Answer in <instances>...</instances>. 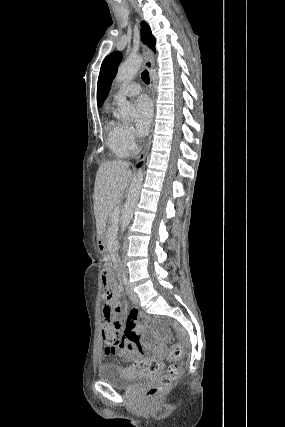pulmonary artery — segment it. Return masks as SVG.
<instances>
[{"label": "pulmonary artery", "instance_id": "pulmonary-artery-1", "mask_svg": "<svg viewBox=\"0 0 285 427\" xmlns=\"http://www.w3.org/2000/svg\"><path fill=\"white\" fill-rule=\"evenodd\" d=\"M142 88L141 85L137 82H128L124 84L120 90L118 91L119 94H122L126 97H134L141 93Z\"/></svg>", "mask_w": 285, "mask_h": 427}]
</instances>
